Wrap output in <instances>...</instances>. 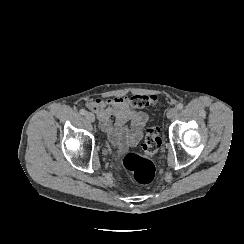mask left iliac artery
<instances>
[{
  "mask_svg": "<svg viewBox=\"0 0 244 244\" xmlns=\"http://www.w3.org/2000/svg\"><path fill=\"white\" fill-rule=\"evenodd\" d=\"M183 106L184 105L182 103H178L176 107L178 110H181V109H183Z\"/></svg>",
  "mask_w": 244,
  "mask_h": 244,
  "instance_id": "obj_1",
  "label": "left iliac artery"
}]
</instances>
